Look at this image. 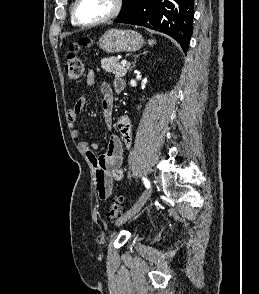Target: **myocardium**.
<instances>
[{"label": "myocardium", "mask_w": 259, "mask_h": 294, "mask_svg": "<svg viewBox=\"0 0 259 294\" xmlns=\"http://www.w3.org/2000/svg\"><path fill=\"white\" fill-rule=\"evenodd\" d=\"M80 1L81 0H75L71 9V19L75 25L79 27H83V28H91V27L99 26L115 19L116 17L120 15L124 6V0H112L113 8L106 16L94 22L84 23V22H81L77 16V7Z\"/></svg>", "instance_id": "obj_1"}]
</instances>
